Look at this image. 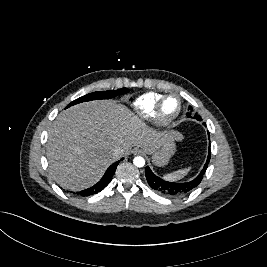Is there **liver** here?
<instances>
[{
  "mask_svg": "<svg viewBox=\"0 0 267 267\" xmlns=\"http://www.w3.org/2000/svg\"><path fill=\"white\" fill-rule=\"evenodd\" d=\"M170 137L182 139L178 133L154 130L115 101L78 104L61 112L49 130V170L63 188L81 190L95 184L132 147L156 150ZM117 147L123 150L120 156L113 154Z\"/></svg>",
  "mask_w": 267,
  "mask_h": 267,
  "instance_id": "obj_1",
  "label": "liver"
}]
</instances>
